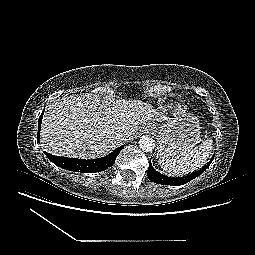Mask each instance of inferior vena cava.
I'll list each match as a JSON object with an SVG mask.
<instances>
[{
    "label": "inferior vena cava",
    "instance_id": "obj_1",
    "mask_svg": "<svg viewBox=\"0 0 255 255\" xmlns=\"http://www.w3.org/2000/svg\"><path fill=\"white\" fill-rule=\"evenodd\" d=\"M116 139L120 141H125L126 140V133H116Z\"/></svg>",
    "mask_w": 255,
    "mask_h": 255
}]
</instances>
